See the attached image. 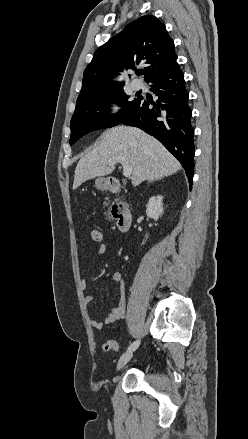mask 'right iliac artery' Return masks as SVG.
Returning <instances> with one entry per match:
<instances>
[{
	"mask_svg": "<svg viewBox=\"0 0 248 439\" xmlns=\"http://www.w3.org/2000/svg\"><path fill=\"white\" fill-rule=\"evenodd\" d=\"M135 340H136V341L133 342V343L128 347V351L135 350V349L138 348V346L142 343V342L140 341L141 339H140L139 337H137Z\"/></svg>",
	"mask_w": 248,
	"mask_h": 439,
	"instance_id": "obj_1",
	"label": "right iliac artery"
}]
</instances>
